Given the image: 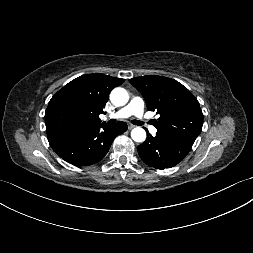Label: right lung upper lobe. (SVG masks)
I'll use <instances>...</instances> for the list:
<instances>
[{
    "instance_id": "cb5924a9",
    "label": "right lung upper lobe",
    "mask_w": 253,
    "mask_h": 253,
    "mask_svg": "<svg viewBox=\"0 0 253 253\" xmlns=\"http://www.w3.org/2000/svg\"><path fill=\"white\" fill-rule=\"evenodd\" d=\"M123 82L124 79L100 73L80 76L51 98L47 111L56 107L70 108L79 115L83 129L100 125L99 114L103 113L111 90Z\"/></svg>"
}]
</instances>
